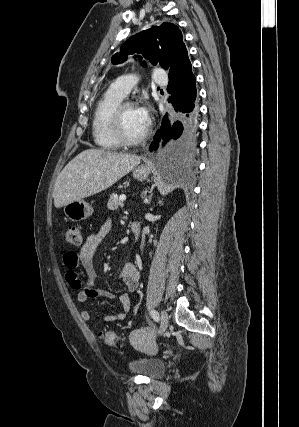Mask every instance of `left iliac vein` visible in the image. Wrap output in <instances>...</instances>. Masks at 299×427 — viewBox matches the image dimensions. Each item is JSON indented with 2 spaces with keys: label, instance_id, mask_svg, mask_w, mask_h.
I'll use <instances>...</instances> for the list:
<instances>
[{
  "label": "left iliac vein",
  "instance_id": "4c4485c4",
  "mask_svg": "<svg viewBox=\"0 0 299 427\" xmlns=\"http://www.w3.org/2000/svg\"><path fill=\"white\" fill-rule=\"evenodd\" d=\"M160 320H161L160 335H162L166 331L169 323L168 314L165 310L161 311Z\"/></svg>",
  "mask_w": 299,
  "mask_h": 427
}]
</instances>
